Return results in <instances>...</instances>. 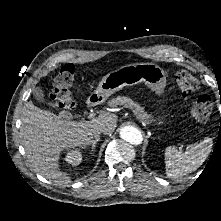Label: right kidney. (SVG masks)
I'll return each mask as SVG.
<instances>
[{"label":"right kidney","mask_w":221,"mask_h":221,"mask_svg":"<svg viewBox=\"0 0 221 221\" xmlns=\"http://www.w3.org/2000/svg\"><path fill=\"white\" fill-rule=\"evenodd\" d=\"M65 160L72 166H77L82 161V154L78 150L69 152Z\"/></svg>","instance_id":"1"}]
</instances>
